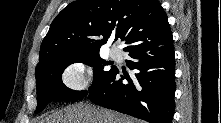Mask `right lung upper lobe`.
Here are the masks:
<instances>
[{
	"label": "right lung upper lobe",
	"instance_id": "right-lung-upper-lobe-1",
	"mask_svg": "<svg viewBox=\"0 0 221 123\" xmlns=\"http://www.w3.org/2000/svg\"><path fill=\"white\" fill-rule=\"evenodd\" d=\"M171 34L157 0L75 1L53 20L37 67L66 56L99 51L109 39L125 41L127 51Z\"/></svg>",
	"mask_w": 221,
	"mask_h": 123
}]
</instances>
